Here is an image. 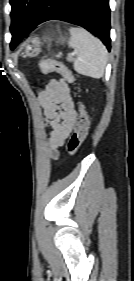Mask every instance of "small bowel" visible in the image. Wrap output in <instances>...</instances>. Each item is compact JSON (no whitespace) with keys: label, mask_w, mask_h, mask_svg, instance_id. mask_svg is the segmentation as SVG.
Returning a JSON list of instances; mask_svg holds the SVG:
<instances>
[{"label":"small bowel","mask_w":134,"mask_h":281,"mask_svg":"<svg viewBox=\"0 0 134 281\" xmlns=\"http://www.w3.org/2000/svg\"><path fill=\"white\" fill-rule=\"evenodd\" d=\"M44 122L49 130L51 156L59 157V148L70 136L76 123V108L70 89L62 80H51L39 95Z\"/></svg>","instance_id":"c3829d8e"}]
</instances>
